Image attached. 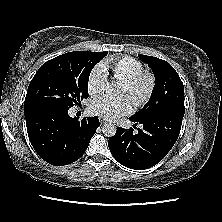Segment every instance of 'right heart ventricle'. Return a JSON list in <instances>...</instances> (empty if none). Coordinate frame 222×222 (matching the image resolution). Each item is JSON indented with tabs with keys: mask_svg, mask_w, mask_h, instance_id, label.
<instances>
[{
	"mask_svg": "<svg viewBox=\"0 0 222 222\" xmlns=\"http://www.w3.org/2000/svg\"><path fill=\"white\" fill-rule=\"evenodd\" d=\"M102 66L105 70L110 69L114 78L121 82L134 78L144 70L139 60L128 56L110 58Z\"/></svg>",
	"mask_w": 222,
	"mask_h": 222,
	"instance_id": "1",
	"label": "right heart ventricle"
}]
</instances>
